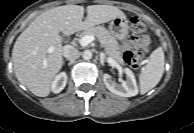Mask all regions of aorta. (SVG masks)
I'll use <instances>...</instances> for the list:
<instances>
[{
  "instance_id": "1",
  "label": "aorta",
  "mask_w": 194,
  "mask_h": 133,
  "mask_svg": "<svg viewBox=\"0 0 194 133\" xmlns=\"http://www.w3.org/2000/svg\"><path fill=\"white\" fill-rule=\"evenodd\" d=\"M82 57L84 60H90L92 58V52L90 50H85Z\"/></svg>"
}]
</instances>
